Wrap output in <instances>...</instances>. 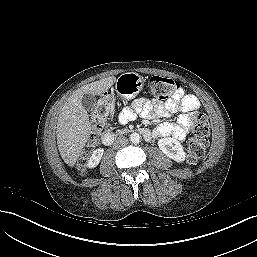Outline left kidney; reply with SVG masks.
<instances>
[{
  "label": "left kidney",
  "instance_id": "1",
  "mask_svg": "<svg viewBox=\"0 0 257 257\" xmlns=\"http://www.w3.org/2000/svg\"><path fill=\"white\" fill-rule=\"evenodd\" d=\"M158 146L167 157L176 162H183L186 158L183 146L174 138H161L158 140Z\"/></svg>",
  "mask_w": 257,
  "mask_h": 257
}]
</instances>
